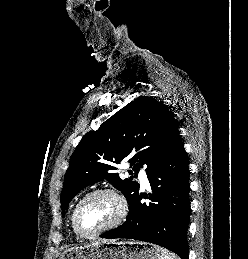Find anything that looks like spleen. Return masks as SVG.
Returning a JSON list of instances; mask_svg holds the SVG:
<instances>
[{"label":"spleen","mask_w":248,"mask_h":259,"mask_svg":"<svg viewBox=\"0 0 248 259\" xmlns=\"http://www.w3.org/2000/svg\"><path fill=\"white\" fill-rule=\"evenodd\" d=\"M160 253H161L160 259H180L177 256H175V254H173L172 252L163 248L160 249Z\"/></svg>","instance_id":"1"}]
</instances>
